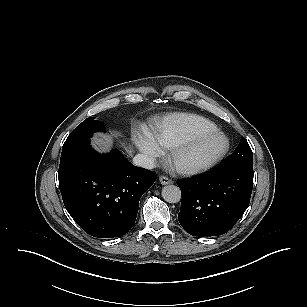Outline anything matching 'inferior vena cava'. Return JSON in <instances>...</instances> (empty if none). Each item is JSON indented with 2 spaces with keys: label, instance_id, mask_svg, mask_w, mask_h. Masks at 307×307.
<instances>
[{
  "label": "inferior vena cava",
  "instance_id": "1",
  "mask_svg": "<svg viewBox=\"0 0 307 307\" xmlns=\"http://www.w3.org/2000/svg\"><path fill=\"white\" fill-rule=\"evenodd\" d=\"M133 164L146 169H153L155 167L154 159L144 154L135 155Z\"/></svg>",
  "mask_w": 307,
  "mask_h": 307
}]
</instances>
